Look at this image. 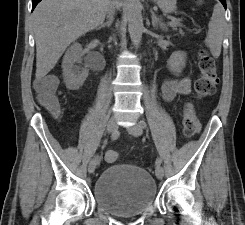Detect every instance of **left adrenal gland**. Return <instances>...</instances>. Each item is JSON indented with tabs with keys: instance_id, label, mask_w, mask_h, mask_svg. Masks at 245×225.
Returning a JSON list of instances; mask_svg holds the SVG:
<instances>
[{
	"instance_id": "1",
	"label": "left adrenal gland",
	"mask_w": 245,
	"mask_h": 225,
	"mask_svg": "<svg viewBox=\"0 0 245 225\" xmlns=\"http://www.w3.org/2000/svg\"><path fill=\"white\" fill-rule=\"evenodd\" d=\"M150 12H151V18H152V26H153L154 28H156V29L159 27V28L162 29L163 31H166L167 28H166V25L164 24L163 20L160 19V18H158V17L155 15V13H154L153 10H151Z\"/></svg>"
}]
</instances>
